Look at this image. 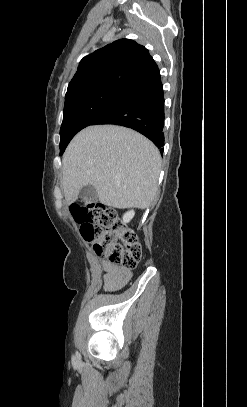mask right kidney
I'll list each match as a JSON object with an SVG mask.
<instances>
[{"instance_id": "ca27d5eb", "label": "right kidney", "mask_w": 247, "mask_h": 407, "mask_svg": "<svg viewBox=\"0 0 247 407\" xmlns=\"http://www.w3.org/2000/svg\"><path fill=\"white\" fill-rule=\"evenodd\" d=\"M134 214L133 210L126 212L123 216V222L128 223L134 217Z\"/></svg>"}]
</instances>
